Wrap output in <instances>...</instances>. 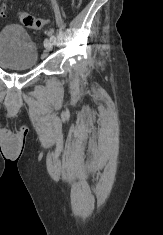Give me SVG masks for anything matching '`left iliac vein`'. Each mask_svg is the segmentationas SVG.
<instances>
[{"mask_svg": "<svg viewBox=\"0 0 163 235\" xmlns=\"http://www.w3.org/2000/svg\"><path fill=\"white\" fill-rule=\"evenodd\" d=\"M54 40L51 38H46L44 40V46L46 48V52L51 51L53 49ZM44 56H47V53H44Z\"/></svg>", "mask_w": 163, "mask_h": 235, "instance_id": "1", "label": "left iliac vein"}]
</instances>
